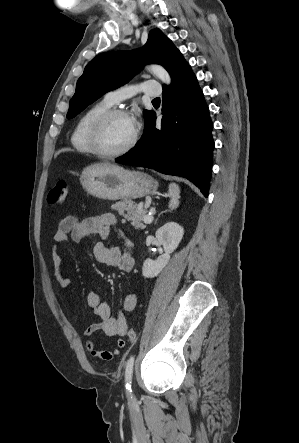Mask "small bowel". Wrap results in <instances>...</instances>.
Masks as SVG:
<instances>
[{
    "label": "small bowel",
    "instance_id": "obj_1",
    "mask_svg": "<svg viewBox=\"0 0 299 443\" xmlns=\"http://www.w3.org/2000/svg\"><path fill=\"white\" fill-rule=\"evenodd\" d=\"M117 226L116 217L113 214H103L101 216L79 219L76 216H67L58 224L54 235V246L52 248V263L57 284L62 289L71 286L70 280L64 272L63 258L60 245L69 237L80 242L90 235L97 234L100 240L95 244L94 258L103 264L119 268L130 272L135 266V257L127 243L125 249L109 245L106 240L110 236L111 230ZM87 306L97 317V321L84 329V335L91 336L95 332L102 331L108 337H122L127 331L126 313L132 312L137 306V295L134 292H127L123 298L121 309L116 315L111 314L109 304L101 299L99 294L90 292L86 297ZM86 348L94 357L103 360H111L124 347L125 342L118 339L112 348H101L95 345L91 338H87Z\"/></svg>",
    "mask_w": 299,
    "mask_h": 443
}]
</instances>
